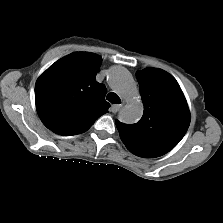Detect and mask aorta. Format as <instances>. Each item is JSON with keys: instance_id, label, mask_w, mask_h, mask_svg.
I'll return each mask as SVG.
<instances>
[{"instance_id": "762f6f07", "label": "aorta", "mask_w": 223, "mask_h": 223, "mask_svg": "<svg viewBox=\"0 0 223 223\" xmlns=\"http://www.w3.org/2000/svg\"><path fill=\"white\" fill-rule=\"evenodd\" d=\"M109 85L126 101V105L119 113L122 122L133 124L143 115V103L138 98V89L131 73L122 66H114L108 74Z\"/></svg>"}]
</instances>
